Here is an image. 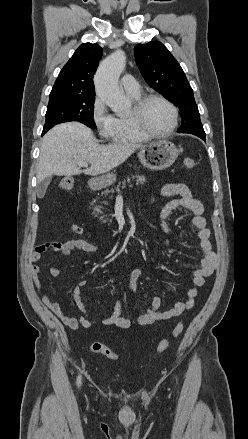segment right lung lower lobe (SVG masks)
Returning <instances> with one entry per match:
<instances>
[{
    "instance_id": "1",
    "label": "right lung lower lobe",
    "mask_w": 248,
    "mask_h": 439,
    "mask_svg": "<svg viewBox=\"0 0 248 439\" xmlns=\"http://www.w3.org/2000/svg\"><path fill=\"white\" fill-rule=\"evenodd\" d=\"M46 132L43 131L42 135L45 134Z\"/></svg>"
}]
</instances>
